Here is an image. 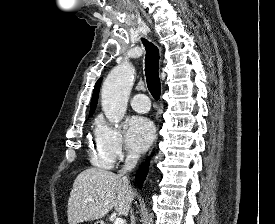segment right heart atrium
Instances as JSON below:
<instances>
[{
  "label": "right heart atrium",
  "instance_id": "obj_1",
  "mask_svg": "<svg viewBox=\"0 0 275 224\" xmlns=\"http://www.w3.org/2000/svg\"><path fill=\"white\" fill-rule=\"evenodd\" d=\"M96 135L99 145L113 161L131 157V153L125 145L124 137L119 127L99 122Z\"/></svg>",
  "mask_w": 275,
  "mask_h": 224
}]
</instances>
